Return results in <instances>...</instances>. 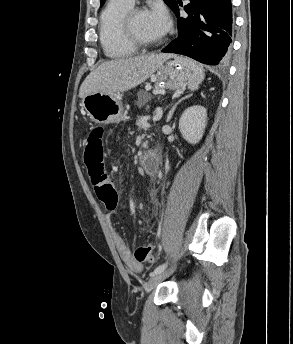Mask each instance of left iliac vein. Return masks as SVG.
Wrapping results in <instances>:
<instances>
[{"instance_id":"left-iliac-vein-1","label":"left iliac vein","mask_w":293,"mask_h":344,"mask_svg":"<svg viewBox=\"0 0 293 344\" xmlns=\"http://www.w3.org/2000/svg\"><path fill=\"white\" fill-rule=\"evenodd\" d=\"M172 272L173 269L170 271H162L160 273L152 275L145 285L146 293L152 291L162 280L167 278Z\"/></svg>"}]
</instances>
